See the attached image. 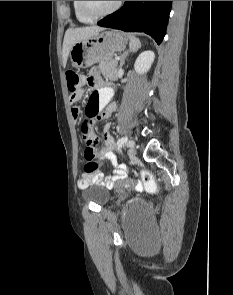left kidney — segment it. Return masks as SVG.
<instances>
[{
  "label": "left kidney",
  "mask_w": 233,
  "mask_h": 295,
  "mask_svg": "<svg viewBox=\"0 0 233 295\" xmlns=\"http://www.w3.org/2000/svg\"><path fill=\"white\" fill-rule=\"evenodd\" d=\"M155 54L151 50L142 52L135 61L134 68L137 73L144 74L150 68L154 61Z\"/></svg>",
  "instance_id": "5707ae66"
}]
</instances>
